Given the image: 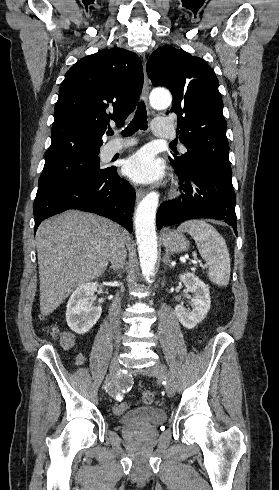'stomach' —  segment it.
Returning a JSON list of instances; mask_svg holds the SVG:
<instances>
[{
    "label": "stomach",
    "instance_id": "obj_1",
    "mask_svg": "<svg viewBox=\"0 0 279 490\" xmlns=\"http://www.w3.org/2000/svg\"><path fill=\"white\" fill-rule=\"evenodd\" d=\"M160 238L166 250H170L174 254L185 252L188 248V242L182 232H174V230H169V228H163Z\"/></svg>",
    "mask_w": 279,
    "mask_h": 490
}]
</instances>
